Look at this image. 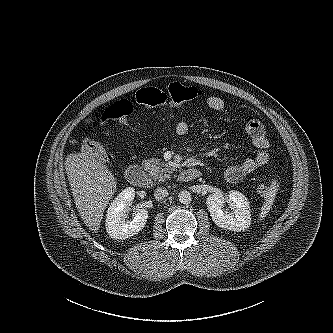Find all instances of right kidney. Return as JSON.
I'll list each match as a JSON object with an SVG mask.
<instances>
[{"label":"right kidney","mask_w":333,"mask_h":333,"mask_svg":"<svg viewBox=\"0 0 333 333\" xmlns=\"http://www.w3.org/2000/svg\"><path fill=\"white\" fill-rule=\"evenodd\" d=\"M134 197L135 189L128 187L111 202L105 223L107 233L111 238L125 240L138 234L144 228L148 219V211L143 208L136 209L132 221L126 222L124 219Z\"/></svg>","instance_id":"ca27d5eb"}]
</instances>
